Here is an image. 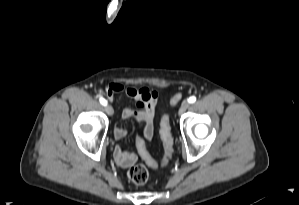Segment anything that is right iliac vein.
<instances>
[{
	"mask_svg": "<svg viewBox=\"0 0 299 205\" xmlns=\"http://www.w3.org/2000/svg\"><path fill=\"white\" fill-rule=\"evenodd\" d=\"M105 110L108 113V115H110V116H112L114 114V110L111 105H106Z\"/></svg>",
	"mask_w": 299,
	"mask_h": 205,
	"instance_id": "obj_1",
	"label": "right iliac vein"
}]
</instances>
